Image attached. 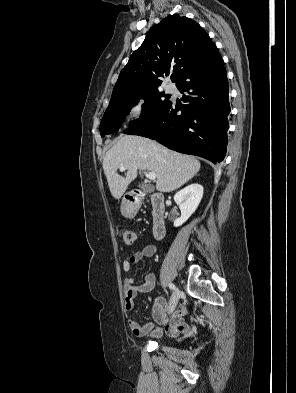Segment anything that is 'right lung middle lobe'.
<instances>
[{"label": "right lung middle lobe", "mask_w": 296, "mask_h": 393, "mask_svg": "<svg viewBox=\"0 0 296 393\" xmlns=\"http://www.w3.org/2000/svg\"><path fill=\"white\" fill-rule=\"evenodd\" d=\"M141 99L144 100L141 116L139 119L131 122V125L157 115L170 101V95L159 92V87H157L126 99L110 101L100 123L101 136L117 131L132 107Z\"/></svg>", "instance_id": "dd1d6c3e"}]
</instances>
